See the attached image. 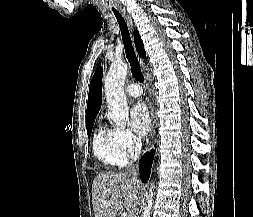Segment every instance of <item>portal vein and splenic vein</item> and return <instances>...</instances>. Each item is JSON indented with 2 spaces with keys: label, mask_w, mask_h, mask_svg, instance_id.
<instances>
[{
  "label": "portal vein and splenic vein",
  "mask_w": 253,
  "mask_h": 217,
  "mask_svg": "<svg viewBox=\"0 0 253 217\" xmlns=\"http://www.w3.org/2000/svg\"><path fill=\"white\" fill-rule=\"evenodd\" d=\"M122 217H127V215H126V214H123V216H122ZM128 217H131V216H129V215H128Z\"/></svg>",
  "instance_id": "1"
}]
</instances>
